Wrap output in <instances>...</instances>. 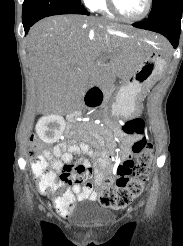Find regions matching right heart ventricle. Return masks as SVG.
<instances>
[{
    "label": "right heart ventricle",
    "instance_id": "obj_1",
    "mask_svg": "<svg viewBox=\"0 0 183 246\" xmlns=\"http://www.w3.org/2000/svg\"><path fill=\"white\" fill-rule=\"evenodd\" d=\"M92 10L97 11L105 16L113 17L114 14L110 11L106 0H96L92 5Z\"/></svg>",
    "mask_w": 183,
    "mask_h": 246
}]
</instances>
